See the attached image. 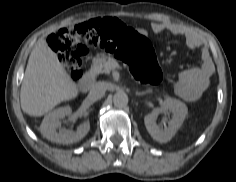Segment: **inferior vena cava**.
Returning a JSON list of instances; mask_svg holds the SVG:
<instances>
[{
  "label": "inferior vena cava",
  "mask_w": 236,
  "mask_h": 182,
  "mask_svg": "<svg viewBox=\"0 0 236 182\" xmlns=\"http://www.w3.org/2000/svg\"><path fill=\"white\" fill-rule=\"evenodd\" d=\"M106 84L104 82H96L92 85L89 95L93 99H100L105 95Z\"/></svg>",
  "instance_id": "obj_1"
}]
</instances>
